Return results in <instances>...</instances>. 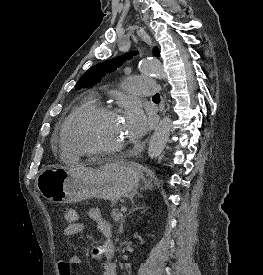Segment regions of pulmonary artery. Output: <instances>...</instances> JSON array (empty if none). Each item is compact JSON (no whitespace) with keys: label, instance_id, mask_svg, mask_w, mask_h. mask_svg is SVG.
<instances>
[{"label":"pulmonary artery","instance_id":"pulmonary-artery-1","mask_svg":"<svg viewBox=\"0 0 263 275\" xmlns=\"http://www.w3.org/2000/svg\"><path fill=\"white\" fill-rule=\"evenodd\" d=\"M126 89L133 95L150 96L155 93L156 84L152 78L137 76L127 81Z\"/></svg>","mask_w":263,"mask_h":275}]
</instances>
